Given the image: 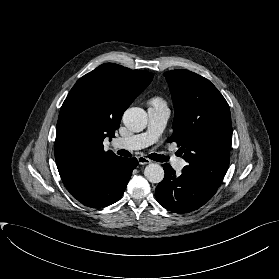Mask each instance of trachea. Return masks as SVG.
<instances>
[{"mask_svg":"<svg viewBox=\"0 0 279 279\" xmlns=\"http://www.w3.org/2000/svg\"><path fill=\"white\" fill-rule=\"evenodd\" d=\"M118 154L121 155V156H126V157H130L131 156V153L129 151H126V150H119L118 151ZM150 159L154 160V161H157V162H165L168 160V157H166L165 155H160V154H156V153H153L149 156Z\"/></svg>","mask_w":279,"mask_h":279,"instance_id":"trachea-1","label":"trachea"}]
</instances>
